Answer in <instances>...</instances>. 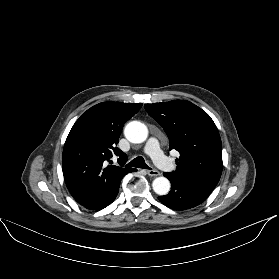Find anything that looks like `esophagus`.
Returning <instances> with one entry per match:
<instances>
[{"instance_id": "esophagus-1", "label": "esophagus", "mask_w": 279, "mask_h": 279, "mask_svg": "<svg viewBox=\"0 0 279 279\" xmlns=\"http://www.w3.org/2000/svg\"><path fill=\"white\" fill-rule=\"evenodd\" d=\"M146 173L149 176H159L160 175L159 171H157L155 169L146 170Z\"/></svg>"}]
</instances>
